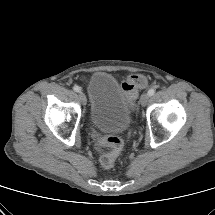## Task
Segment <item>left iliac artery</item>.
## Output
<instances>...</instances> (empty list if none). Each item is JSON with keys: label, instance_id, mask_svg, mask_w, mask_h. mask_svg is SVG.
Instances as JSON below:
<instances>
[{"label": "left iliac artery", "instance_id": "left-iliac-artery-1", "mask_svg": "<svg viewBox=\"0 0 215 215\" xmlns=\"http://www.w3.org/2000/svg\"><path fill=\"white\" fill-rule=\"evenodd\" d=\"M148 94L149 96H152L155 94V89L151 88L149 91H148Z\"/></svg>", "mask_w": 215, "mask_h": 215}]
</instances>
